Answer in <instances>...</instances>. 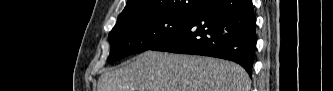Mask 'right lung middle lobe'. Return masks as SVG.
<instances>
[{
    "label": "right lung middle lobe",
    "instance_id": "obj_1",
    "mask_svg": "<svg viewBox=\"0 0 333 91\" xmlns=\"http://www.w3.org/2000/svg\"><path fill=\"white\" fill-rule=\"evenodd\" d=\"M213 0H204L206 7ZM196 14H156L144 16L115 25L109 33V62H115L130 54L150 50L183 28Z\"/></svg>",
    "mask_w": 333,
    "mask_h": 91
}]
</instances>
